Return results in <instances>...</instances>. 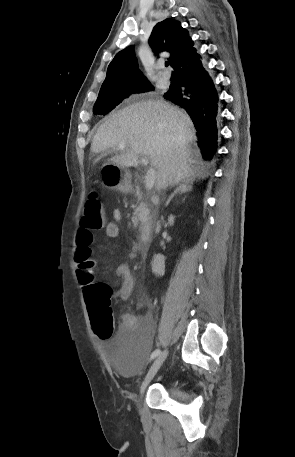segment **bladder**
I'll return each instance as SVG.
<instances>
[{
	"label": "bladder",
	"instance_id": "31cf9c89",
	"mask_svg": "<svg viewBox=\"0 0 295 457\" xmlns=\"http://www.w3.org/2000/svg\"><path fill=\"white\" fill-rule=\"evenodd\" d=\"M115 366L121 371L136 373L145 360H155L152 338H111Z\"/></svg>",
	"mask_w": 295,
	"mask_h": 457
}]
</instances>
